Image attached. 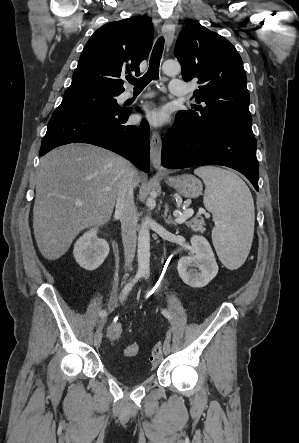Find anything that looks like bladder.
<instances>
[{
    "instance_id": "31cf9c89",
    "label": "bladder",
    "mask_w": 299,
    "mask_h": 443,
    "mask_svg": "<svg viewBox=\"0 0 299 443\" xmlns=\"http://www.w3.org/2000/svg\"><path fill=\"white\" fill-rule=\"evenodd\" d=\"M114 375L123 383L128 385L139 384L148 379L149 373L141 369L120 370L117 368L112 369Z\"/></svg>"
}]
</instances>
